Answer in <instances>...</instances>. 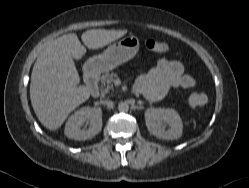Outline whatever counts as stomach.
I'll list each match as a JSON object with an SVG mask.
<instances>
[{"label":"stomach","instance_id":"1","mask_svg":"<svg viewBox=\"0 0 249 188\" xmlns=\"http://www.w3.org/2000/svg\"><path fill=\"white\" fill-rule=\"evenodd\" d=\"M138 49L139 39L133 35L127 36L108 46L102 54L91 57L84 67L91 73L108 72L131 60Z\"/></svg>","mask_w":249,"mask_h":188}]
</instances>
